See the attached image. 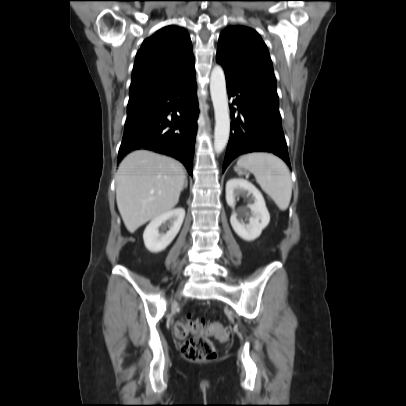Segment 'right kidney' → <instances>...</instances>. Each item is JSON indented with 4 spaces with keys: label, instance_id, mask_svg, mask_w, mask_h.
Returning <instances> with one entry per match:
<instances>
[{
    "label": "right kidney",
    "instance_id": "right-kidney-1",
    "mask_svg": "<svg viewBox=\"0 0 406 406\" xmlns=\"http://www.w3.org/2000/svg\"><path fill=\"white\" fill-rule=\"evenodd\" d=\"M185 217L183 208H176L154 218L146 227L143 233L146 248L153 253L163 251L178 234ZM171 223L169 230L165 234L159 232V227Z\"/></svg>",
    "mask_w": 406,
    "mask_h": 406
}]
</instances>
